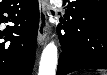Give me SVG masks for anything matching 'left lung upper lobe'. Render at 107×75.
<instances>
[{
  "instance_id": "1",
  "label": "left lung upper lobe",
  "mask_w": 107,
  "mask_h": 75,
  "mask_svg": "<svg viewBox=\"0 0 107 75\" xmlns=\"http://www.w3.org/2000/svg\"><path fill=\"white\" fill-rule=\"evenodd\" d=\"M97 11L107 12V0H92L89 3L81 4L68 17V21L73 25L76 34L83 40L86 34L82 29V16L85 14L96 13ZM87 40V39H86Z\"/></svg>"
}]
</instances>
